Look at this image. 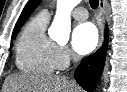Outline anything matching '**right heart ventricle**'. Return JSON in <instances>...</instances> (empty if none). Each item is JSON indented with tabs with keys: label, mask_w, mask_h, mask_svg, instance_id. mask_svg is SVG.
<instances>
[{
	"label": "right heart ventricle",
	"mask_w": 127,
	"mask_h": 92,
	"mask_svg": "<svg viewBox=\"0 0 127 92\" xmlns=\"http://www.w3.org/2000/svg\"><path fill=\"white\" fill-rule=\"evenodd\" d=\"M49 15L43 11L23 28L16 44L15 62L19 71L32 75L51 74L57 69V45L45 30Z\"/></svg>",
	"instance_id": "obj_1"
}]
</instances>
